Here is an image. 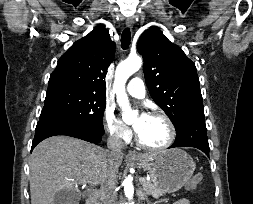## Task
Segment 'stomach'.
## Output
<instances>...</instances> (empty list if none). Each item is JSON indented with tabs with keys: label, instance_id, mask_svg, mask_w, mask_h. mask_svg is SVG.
Wrapping results in <instances>:
<instances>
[{
	"label": "stomach",
	"instance_id": "stomach-1",
	"mask_svg": "<svg viewBox=\"0 0 253 204\" xmlns=\"http://www.w3.org/2000/svg\"><path fill=\"white\" fill-rule=\"evenodd\" d=\"M133 162L146 170L152 181L165 193L180 190L190 180L195 170L193 159L181 149L140 154Z\"/></svg>",
	"mask_w": 253,
	"mask_h": 204
}]
</instances>
